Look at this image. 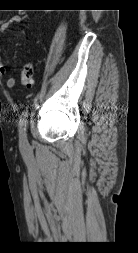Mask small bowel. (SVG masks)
Returning <instances> with one entry per match:
<instances>
[{"mask_svg":"<svg viewBox=\"0 0 138 253\" xmlns=\"http://www.w3.org/2000/svg\"><path fill=\"white\" fill-rule=\"evenodd\" d=\"M20 21H21V19L19 16H14V17L10 18L9 20L5 21L4 23H2L0 30L3 33H5L10 29L11 26L19 24ZM7 70H8V68H7L6 64H4L2 62L1 53H0V74L5 75L7 73ZM15 84H16V80L13 77L9 78L6 82V85L8 88H13L15 86Z\"/></svg>","mask_w":138,"mask_h":253,"instance_id":"1","label":"small bowel"}]
</instances>
